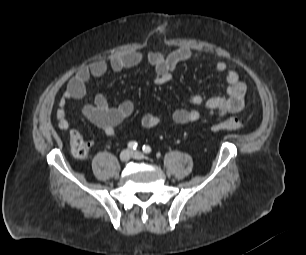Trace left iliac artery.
Returning a JSON list of instances; mask_svg holds the SVG:
<instances>
[{
  "label": "left iliac artery",
  "instance_id": "1",
  "mask_svg": "<svg viewBox=\"0 0 306 255\" xmlns=\"http://www.w3.org/2000/svg\"><path fill=\"white\" fill-rule=\"evenodd\" d=\"M142 150H143V152L146 153V154H149V153L152 151V149H151V147H150L149 145H144V146L142 147Z\"/></svg>",
  "mask_w": 306,
  "mask_h": 255
}]
</instances>
